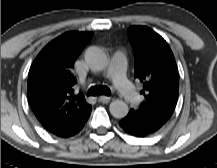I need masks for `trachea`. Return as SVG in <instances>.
<instances>
[{
	"label": "trachea",
	"instance_id": "trachea-1",
	"mask_svg": "<svg viewBox=\"0 0 217 168\" xmlns=\"http://www.w3.org/2000/svg\"><path fill=\"white\" fill-rule=\"evenodd\" d=\"M111 94L110 89L104 85H95L89 88L87 95L97 96V95H107Z\"/></svg>",
	"mask_w": 217,
	"mask_h": 168
}]
</instances>
